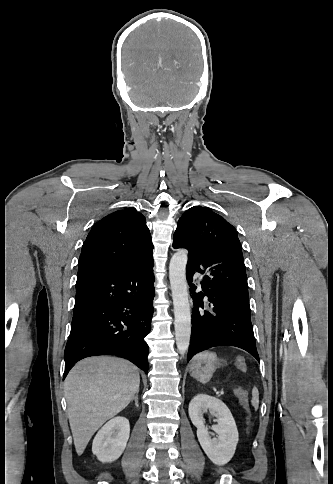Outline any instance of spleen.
Returning <instances> with one entry per match:
<instances>
[{
	"mask_svg": "<svg viewBox=\"0 0 333 484\" xmlns=\"http://www.w3.org/2000/svg\"><path fill=\"white\" fill-rule=\"evenodd\" d=\"M251 404L255 408V410H257L258 405H259V393H258V389L256 387H253V389H252Z\"/></svg>",
	"mask_w": 333,
	"mask_h": 484,
	"instance_id": "3e777b00",
	"label": "spleen"
}]
</instances>
